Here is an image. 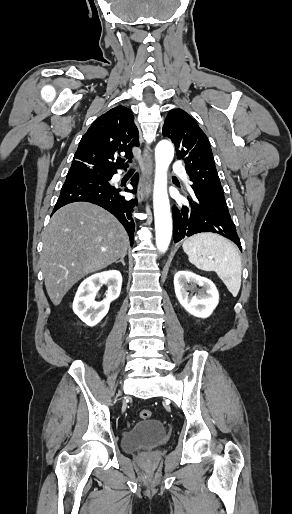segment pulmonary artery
<instances>
[{
    "mask_svg": "<svg viewBox=\"0 0 292 514\" xmlns=\"http://www.w3.org/2000/svg\"><path fill=\"white\" fill-rule=\"evenodd\" d=\"M174 168H175L176 170H179V169L181 168V165H180L179 163H176V164L174 165ZM186 180H187V182H188V183H190V181H189V178H188V177H186Z\"/></svg>",
    "mask_w": 292,
    "mask_h": 514,
    "instance_id": "e3ab8cb5",
    "label": "pulmonary artery"
}]
</instances>
